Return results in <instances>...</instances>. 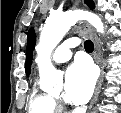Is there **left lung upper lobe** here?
Masks as SVG:
<instances>
[{
  "label": "left lung upper lobe",
  "instance_id": "left-lung-upper-lobe-1",
  "mask_svg": "<svg viewBox=\"0 0 121 113\" xmlns=\"http://www.w3.org/2000/svg\"><path fill=\"white\" fill-rule=\"evenodd\" d=\"M85 3L90 7L94 8V3L92 0H85ZM28 34V41H27V50H26V74H30V66L32 63V50L36 43V35L34 33V29L30 28Z\"/></svg>",
  "mask_w": 121,
  "mask_h": 113
}]
</instances>
